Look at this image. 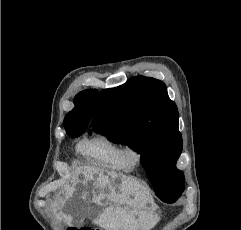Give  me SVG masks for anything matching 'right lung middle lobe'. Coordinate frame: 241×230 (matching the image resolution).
I'll use <instances>...</instances> for the list:
<instances>
[{"label":"right lung middle lobe","instance_id":"dd1d6c3e","mask_svg":"<svg viewBox=\"0 0 241 230\" xmlns=\"http://www.w3.org/2000/svg\"><path fill=\"white\" fill-rule=\"evenodd\" d=\"M85 132V129H80V130H71V131H68L67 134L70 136V137H73V138H76V137H79L81 134H83Z\"/></svg>","mask_w":241,"mask_h":230}]
</instances>
